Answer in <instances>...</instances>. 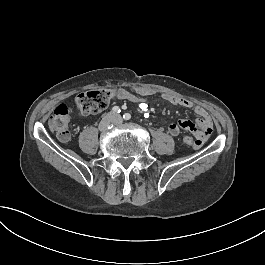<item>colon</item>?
I'll list each match as a JSON object with an SVG mask.
<instances>
[{
  "mask_svg": "<svg viewBox=\"0 0 265 265\" xmlns=\"http://www.w3.org/2000/svg\"><path fill=\"white\" fill-rule=\"evenodd\" d=\"M116 98V92L109 88L92 89L84 91L75 98V106L80 115H90L106 109ZM70 110L66 105H60L49 117L48 124L50 129L57 137L66 141L70 137L67 128V120ZM185 145L193 149L195 140L193 137L183 138Z\"/></svg>",
  "mask_w": 265,
  "mask_h": 265,
  "instance_id": "colon-1",
  "label": "colon"
}]
</instances>
